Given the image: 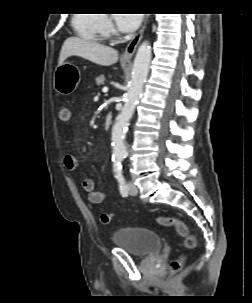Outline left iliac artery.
I'll return each mask as SVG.
<instances>
[{
	"label": "left iliac artery",
	"mask_w": 252,
	"mask_h": 303,
	"mask_svg": "<svg viewBox=\"0 0 252 303\" xmlns=\"http://www.w3.org/2000/svg\"><path fill=\"white\" fill-rule=\"evenodd\" d=\"M114 175L119 183V190H120L121 195L123 197L127 196L128 195L127 184H126V180L124 178L123 172H122L121 165L114 166Z\"/></svg>",
	"instance_id": "44dca946"
}]
</instances>
